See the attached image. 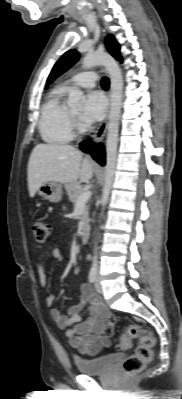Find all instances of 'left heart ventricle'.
<instances>
[{"instance_id": "1", "label": "left heart ventricle", "mask_w": 182, "mask_h": 399, "mask_svg": "<svg viewBox=\"0 0 182 399\" xmlns=\"http://www.w3.org/2000/svg\"><path fill=\"white\" fill-rule=\"evenodd\" d=\"M72 113L76 116H78L80 114V110H72Z\"/></svg>"}]
</instances>
